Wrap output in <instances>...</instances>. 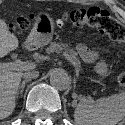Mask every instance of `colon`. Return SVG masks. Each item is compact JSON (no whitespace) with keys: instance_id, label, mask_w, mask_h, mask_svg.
I'll return each mask as SVG.
<instances>
[{"instance_id":"colon-1","label":"colon","mask_w":125,"mask_h":125,"mask_svg":"<svg viewBox=\"0 0 125 125\" xmlns=\"http://www.w3.org/2000/svg\"><path fill=\"white\" fill-rule=\"evenodd\" d=\"M71 24L76 27L84 25L97 28L107 34L112 40L125 44V26L113 18L107 11L98 7L90 9H73L64 12L58 19V24ZM14 32L24 31L30 27V21L25 17H18L9 25ZM118 84L125 87V70L117 78Z\"/></svg>"}]
</instances>
